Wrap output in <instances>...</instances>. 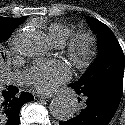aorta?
Wrapping results in <instances>:
<instances>
[{"mask_svg":"<svg viewBox=\"0 0 125 125\" xmlns=\"http://www.w3.org/2000/svg\"><path fill=\"white\" fill-rule=\"evenodd\" d=\"M49 48L48 38L41 31L29 32L21 39L22 54L32 58L44 57ZM49 110L53 117L65 121L74 116L76 106L72 99L62 96L51 101Z\"/></svg>","mask_w":125,"mask_h":125,"instance_id":"762f6f07","label":"aorta"}]
</instances>
